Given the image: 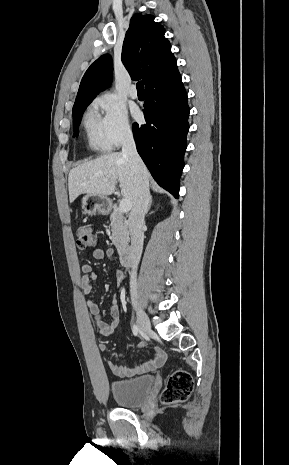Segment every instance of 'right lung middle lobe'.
Segmentation results:
<instances>
[{
  "label": "right lung middle lobe",
  "mask_w": 289,
  "mask_h": 465,
  "mask_svg": "<svg viewBox=\"0 0 289 465\" xmlns=\"http://www.w3.org/2000/svg\"><path fill=\"white\" fill-rule=\"evenodd\" d=\"M92 100H85L81 102H76L73 106V129L74 136H78V126L81 121V117L84 113L86 107L91 103Z\"/></svg>",
  "instance_id": "obj_1"
}]
</instances>
